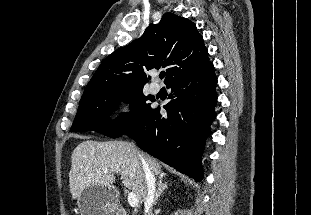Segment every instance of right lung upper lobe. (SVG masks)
Here are the masks:
<instances>
[{
	"mask_svg": "<svg viewBox=\"0 0 311 215\" xmlns=\"http://www.w3.org/2000/svg\"><path fill=\"white\" fill-rule=\"evenodd\" d=\"M208 61V50L196 25L168 12L158 24H150L139 39L117 49L101 63L80 102L107 94L143 90L148 80L147 71L161 67L166 68L167 85Z\"/></svg>",
	"mask_w": 311,
	"mask_h": 215,
	"instance_id": "right-lung-upper-lobe-1",
	"label": "right lung upper lobe"
}]
</instances>
